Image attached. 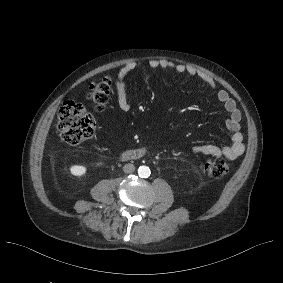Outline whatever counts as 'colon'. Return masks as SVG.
<instances>
[{"instance_id": "5ec220e1", "label": "colon", "mask_w": 283, "mask_h": 283, "mask_svg": "<svg viewBox=\"0 0 283 283\" xmlns=\"http://www.w3.org/2000/svg\"><path fill=\"white\" fill-rule=\"evenodd\" d=\"M111 86L108 77L90 85L87 98L96 110L101 111L106 107ZM57 129L65 143L78 145L92 138L95 121L81 104L65 101L58 113ZM230 168L229 163L222 159L207 160L200 167L205 175L213 178L226 176Z\"/></svg>"}]
</instances>
